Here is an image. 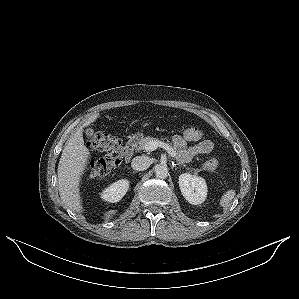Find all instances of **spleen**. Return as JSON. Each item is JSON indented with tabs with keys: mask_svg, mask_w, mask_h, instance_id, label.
I'll list each match as a JSON object with an SVG mask.
<instances>
[{
	"mask_svg": "<svg viewBox=\"0 0 299 299\" xmlns=\"http://www.w3.org/2000/svg\"><path fill=\"white\" fill-rule=\"evenodd\" d=\"M235 195H236L235 190H233V189L227 190V191L221 196V199H220V206H221L224 210H227L228 207L230 206L232 200L234 199Z\"/></svg>",
	"mask_w": 299,
	"mask_h": 299,
	"instance_id": "obj_1",
	"label": "spleen"
}]
</instances>
